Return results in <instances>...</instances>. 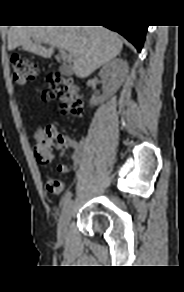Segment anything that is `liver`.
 Returning <instances> with one entry per match:
<instances>
[{
    "instance_id": "1",
    "label": "liver",
    "mask_w": 184,
    "mask_h": 292,
    "mask_svg": "<svg viewBox=\"0 0 184 292\" xmlns=\"http://www.w3.org/2000/svg\"><path fill=\"white\" fill-rule=\"evenodd\" d=\"M31 38L49 44L50 48ZM18 46L45 58L53 55L54 47L67 50L75 75L85 78L119 55L123 42L117 33L103 26H13L8 33V50Z\"/></svg>"
}]
</instances>
